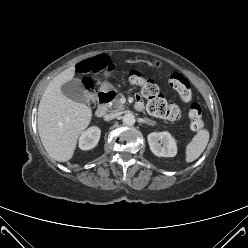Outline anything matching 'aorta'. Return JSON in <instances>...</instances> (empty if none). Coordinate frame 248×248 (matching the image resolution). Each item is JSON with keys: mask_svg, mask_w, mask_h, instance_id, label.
I'll use <instances>...</instances> for the list:
<instances>
[{"mask_svg": "<svg viewBox=\"0 0 248 248\" xmlns=\"http://www.w3.org/2000/svg\"><path fill=\"white\" fill-rule=\"evenodd\" d=\"M122 121L125 125H134L135 123V116L132 113H126L123 115Z\"/></svg>", "mask_w": 248, "mask_h": 248, "instance_id": "obj_1", "label": "aorta"}]
</instances>
